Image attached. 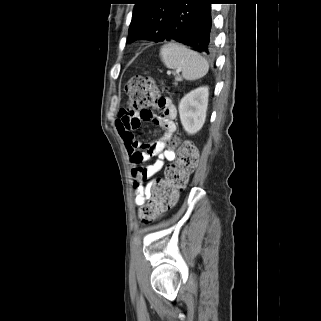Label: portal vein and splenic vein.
I'll list each match as a JSON object with an SVG mask.
<instances>
[{
  "label": "portal vein and splenic vein",
  "mask_w": 321,
  "mask_h": 321,
  "mask_svg": "<svg viewBox=\"0 0 321 321\" xmlns=\"http://www.w3.org/2000/svg\"><path fill=\"white\" fill-rule=\"evenodd\" d=\"M171 73H172V72H171L170 70L167 71V74H168V75H170ZM178 73H179V71L177 70V71H176V74H178Z\"/></svg>",
  "instance_id": "portal-vein-and-splenic-vein-1"
}]
</instances>
